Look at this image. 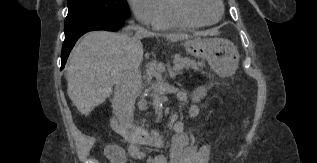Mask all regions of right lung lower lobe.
Returning <instances> with one entry per match:
<instances>
[{
  "label": "right lung lower lobe",
  "instance_id": "1",
  "mask_svg": "<svg viewBox=\"0 0 317 163\" xmlns=\"http://www.w3.org/2000/svg\"><path fill=\"white\" fill-rule=\"evenodd\" d=\"M124 19H115V18H105L100 19L94 22H91L87 25L81 26L77 29H74L68 33H65V40L62 47L61 59L62 65L61 70L64 68L67 58L71 49L73 48L76 41L83 34L93 30H107V31H117L124 25Z\"/></svg>",
  "mask_w": 317,
  "mask_h": 163
}]
</instances>
